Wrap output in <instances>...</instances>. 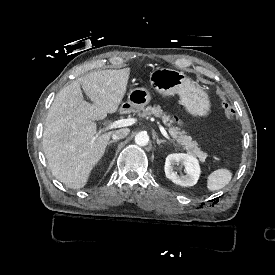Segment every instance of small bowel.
I'll list each match as a JSON object with an SVG mask.
<instances>
[{
    "mask_svg": "<svg viewBox=\"0 0 275 275\" xmlns=\"http://www.w3.org/2000/svg\"><path fill=\"white\" fill-rule=\"evenodd\" d=\"M173 120L178 124L180 123V119L177 116H173Z\"/></svg>",
    "mask_w": 275,
    "mask_h": 275,
    "instance_id": "obj_1",
    "label": "small bowel"
}]
</instances>
